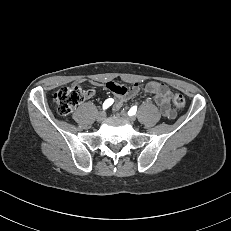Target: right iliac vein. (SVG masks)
I'll list each match as a JSON object with an SVG mask.
<instances>
[{
    "mask_svg": "<svg viewBox=\"0 0 231 231\" xmlns=\"http://www.w3.org/2000/svg\"><path fill=\"white\" fill-rule=\"evenodd\" d=\"M106 115L105 113L101 112L97 115V121L102 122L105 119Z\"/></svg>",
    "mask_w": 231,
    "mask_h": 231,
    "instance_id": "1",
    "label": "right iliac vein"
}]
</instances>
